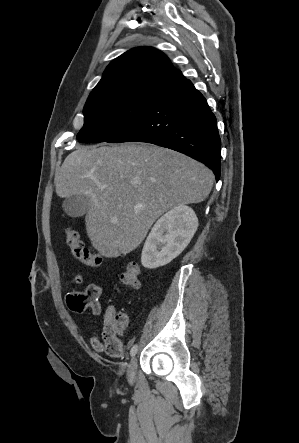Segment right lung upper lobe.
<instances>
[{"label":"right lung upper lobe","instance_id":"obj_1","mask_svg":"<svg viewBox=\"0 0 299 443\" xmlns=\"http://www.w3.org/2000/svg\"><path fill=\"white\" fill-rule=\"evenodd\" d=\"M181 71L169 58L152 47L133 48L114 59L105 69L102 79L89 96L132 87L168 89L182 81Z\"/></svg>","mask_w":299,"mask_h":443}]
</instances>
